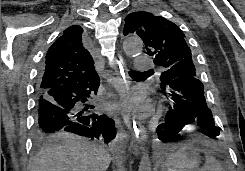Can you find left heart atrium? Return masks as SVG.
<instances>
[{"mask_svg": "<svg viewBox=\"0 0 245 171\" xmlns=\"http://www.w3.org/2000/svg\"><path fill=\"white\" fill-rule=\"evenodd\" d=\"M121 109L137 117H145L150 114L152 106L142 93L133 92L123 100Z\"/></svg>", "mask_w": 245, "mask_h": 171, "instance_id": "obj_1", "label": "left heart atrium"}]
</instances>
